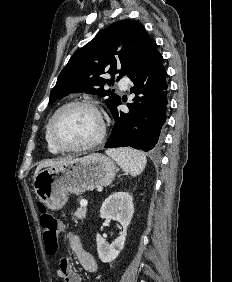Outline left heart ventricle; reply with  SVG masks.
<instances>
[{
  "instance_id": "1",
  "label": "left heart ventricle",
  "mask_w": 232,
  "mask_h": 282,
  "mask_svg": "<svg viewBox=\"0 0 232 282\" xmlns=\"http://www.w3.org/2000/svg\"><path fill=\"white\" fill-rule=\"evenodd\" d=\"M99 131L100 121L97 114L83 106H73L63 111L54 126L58 141L68 146L88 143L97 137Z\"/></svg>"
}]
</instances>
